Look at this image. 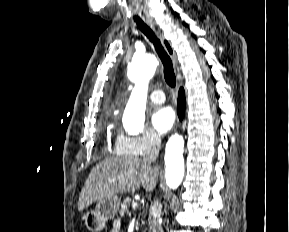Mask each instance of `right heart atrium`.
Returning <instances> with one entry per match:
<instances>
[{
    "label": "right heart atrium",
    "mask_w": 289,
    "mask_h": 232,
    "mask_svg": "<svg viewBox=\"0 0 289 232\" xmlns=\"http://www.w3.org/2000/svg\"><path fill=\"white\" fill-rule=\"evenodd\" d=\"M160 144V138L152 131L138 135L119 133L115 141V151L126 156H144L157 151Z\"/></svg>",
    "instance_id": "right-heart-atrium-1"
}]
</instances>
